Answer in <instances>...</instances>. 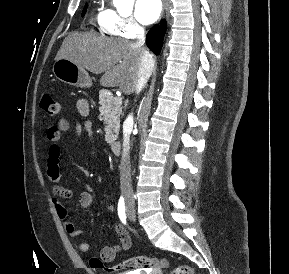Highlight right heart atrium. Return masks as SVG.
<instances>
[{"label": "right heart atrium", "mask_w": 289, "mask_h": 274, "mask_svg": "<svg viewBox=\"0 0 289 274\" xmlns=\"http://www.w3.org/2000/svg\"><path fill=\"white\" fill-rule=\"evenodd\" d=\"M106 27L113 34L125 38H134L142 32V27L133 17L120 15L113 9H108Z\"/></svg>", "instance_id": "obj_1"}]
</instances>
